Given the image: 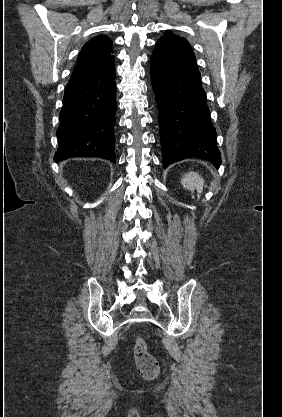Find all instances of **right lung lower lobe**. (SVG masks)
<instances>
[{
    "instance_id": "1",
    "label": "right lung lower lobe",
    "mask_w": 282,
    "mask_h": 417,
    "mask_svg": "<svg viewBox=\"0 0 282 417\" xmlns=\"http://www.w3.org/2000/svg\"><path fill=\"white\" fill-rule=\"evenodd\" d=\"M114 61L72 75L64 94L56 162L95 156L116 163Z\"/></svg>"
}]
</instances>
